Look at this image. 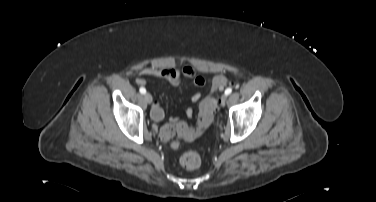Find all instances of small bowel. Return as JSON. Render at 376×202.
Masks as SVG:
<instances>
[{"mask_svg": "<svg viewBox=\"0 0 376 202\" xmlns=\"http://www.w3.org/2000/svg\"><path fill=\"white\" fill-rule=\"evenodd\" d=\"M139 75L140 77H138L136 80V83L139 86H144L147 82L146 77H149V76L165 79L173 86L180 85L182 76L191 78L193 80L194 86L197 89V91L194 92L191 96V101L194 103L200 100L201 98L200 89L205 84L204 78L199 76L196 73V71L190 66H186L182 70H178L176 68H164V67L144 68L140 70ZM150 113H151L152 119L156 122L162 121L165 116L161 105L157 101L153 102ZM185 114L188 118H191L194 114V110L192 108H188L185 111ZM170 123L171 124L180 123V119L178 117H170Z\"/></svg>", "mask_w": 376, "mask_h": 202, "instance_id": "c3829d8e", "label": "small bowel"}]
</instances>
